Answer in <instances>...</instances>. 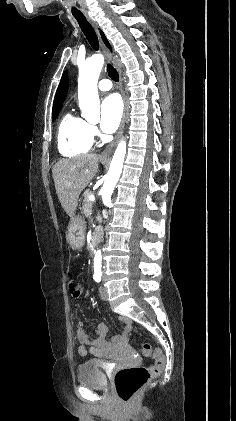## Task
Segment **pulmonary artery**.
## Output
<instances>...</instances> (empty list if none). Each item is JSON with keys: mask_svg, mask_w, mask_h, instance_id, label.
I'll list each match as a JSON object with an SVG mask.
<instances>
[{"mask_svg": "<svg viewBox=\"0 0 236 421\" xmlns=\"http://www.w3.org/2000/svg\"><path fill=\"white\" fill-rule=\"evenodd\" d=\"M98 88L101 91H109L113 88L112 82L108 79H102L98 83Z\"/></svg>", "mask_w": 236, "mask_h": 421, "instance_id": "e3ab8cb5", "label": "pulmonary artery"}]
</instances>
